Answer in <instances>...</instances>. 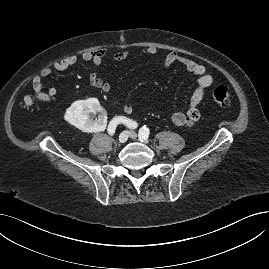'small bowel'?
<instances>
[{
	"instance_id": "obj_1",
	"label": "small bowel",
	"mask_w": 269,
	"mask_h": 269,
	"mask_svg": "<svg viewBox=\"0 0 269 269\" xmlns=\"http://www.w3.org/2000/svg\"><path fill=\"white\" fill-rule=\"evenodd\" d=\"M157 48L150 46L142 49L141 54L154 55L157 53ZM107 54L106 49L99 48L96 50L85 51L81 54V60L85 62H92L96 66H100ZM129 56L128 51H120L113 54L114 61H123ZM79 57L70 55L58 61H55L50 66L43 69L38 75L32 79V88L37 94L43 95V101L51 102L56 94L57 89L54 87L49 88L43 93V80L49 77L53 72L65 71L78 63ZM174 64L182 65L191 75L197 78V85L192 90L187 107L184 111H176L171 116L172 123L181 128H188L195 125L201 117L199 105L206 96L207 90L213 84V76L208 74L204 65L178 54L175 51L168 52L164 59L163 65L168 68ZM91 84L99 89L101 92L107 93L111 90V85L106 82L98 72L90 76ZM122 111L125 115H130L133 112V106L130 103H125L122 106ZM110 124V123H109Z\"/></svg>"
}]
</instances>
